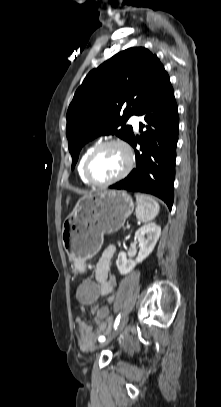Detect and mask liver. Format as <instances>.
Listing matches in <instances>:
<instances>
[{
    "mask_svg": "<svg viewBox=\"0 0 221 407\" xmlns=\"http://www.w3.org/2000/svg\"><path fill=\"white\" fill-rule=\"evenodd\" d=\"M69 199H70V197H67V200H66V203H67V204L69 203Z\"/></svg>",
    "mask_w": 221,
    "mask_h": 407,
    "instance_id": "6515ba94",
    "label": "liver"
}]
</instances>
